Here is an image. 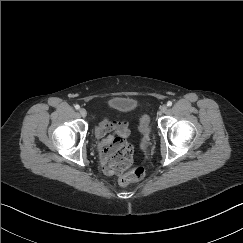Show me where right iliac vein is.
I'll use <instances>...</instances> for the list:
<instances>
[{"mask_svg":"<svg viewBox=\"0 0 243 243\" xmlns=\"http://www.w3.org/2000/svg\"><path fill=\"white\" fill-rule=\"evenodd\" d=\"M79 113H80V115H81L82 117H86V116H87V111H86L84 108H81V109L79 110Z\"/></svg>","mask_w":243,"mask_h":243,"instance_id":"obj_1","label":"right iliac vein"}]
</instances>
